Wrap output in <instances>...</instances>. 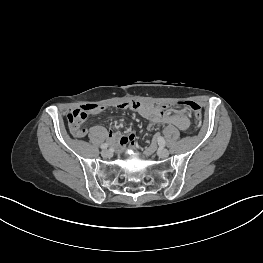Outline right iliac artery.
<instances>
[{"instance_id":"right-iliac-artery-1","label":"right iliac artery","mask_w":263,"mask_h":263,"mask_svg":"<svg viewBox=\"0 0 263 263\" xmlns=\"http://www.w3.org/2000/svg\"><path fill=\"white\" fill-rule=\"evenodd\" d=\"M108 146H109L108 143H104V144L101 145V149H106Z\"/></svg>"}]
</instances>
